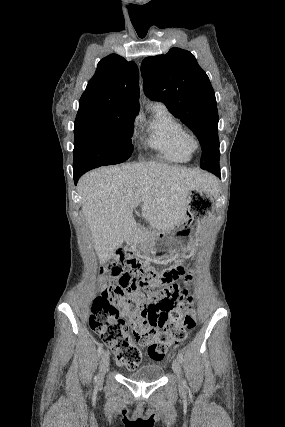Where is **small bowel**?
Listing matches in <instances>:
<instances>
[{"instance_id": "1", "label": "small bowel", "mask_w": 285, "mask_h": 427, "mask_svg": "<svg viewBox=\"0 0 285 427\" xmlns=\"http://www.w3.org/2000/svg\"><path fill=\"white\" fill-rule=\"evenodd\" d=\"M180 296V293L178 295L165 293L145 311L146 322L150 325H153L155 328L164 326L166 323L165 317L170 311V305Z\"/></svg>"}]
</instances>
